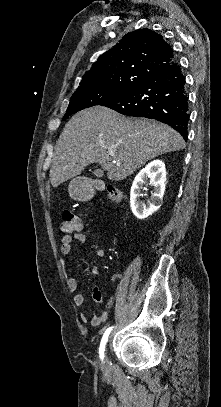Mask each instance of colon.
Here are the masks:
<instances>
[{"label": "colon", "instance_id": "colon-1", "mask_svg": "<svg viewBox=\"0 0 221 407\" xmlns=\"http://www.w3.org/2000/svg\"><path fill=\"white\" fill-rule=\"evenodd\" d=\"M107 194L109 199L114 203H120L123 199L122 192L114 186H108ZM60 232L65 235H70L81 229V221L77 215L70 211L63 214V219L59 224Z\"/></svg>", "mask_w": 221, "mask_h": 407}]
</instances>
